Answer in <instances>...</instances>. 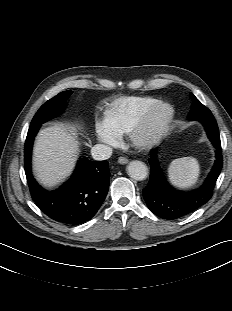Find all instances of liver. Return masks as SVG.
Returning a JSON list of instances; mask_svg holds the SVG:
<instances>
[{"instance_id":"obj_1","label":"liver","mask_w":232,"mask_h":311,"mask_svg":"<svg viewBox=\"0 0 232 311\" xmlns=\"http://www.w3.org/2000/svg\"><path fill=\"white\" fill-rule=\"evenodd\" d=\"M79 143L73 127L57 124L39 133L34 146V171L46 187H53L72 172Z\"/></svg>"}]
</instances>
